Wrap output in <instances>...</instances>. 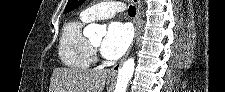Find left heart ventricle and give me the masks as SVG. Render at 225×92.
Here are the masks:
<instances>
[{
  "label": "left heart ventricle",
  "mask_w": 225,
  "mask_h": 92,
  "mask_svg": "<svg viewBox=\"0 0 225 92\" xmlns=\"http://www.w3.org/2000/svg\"><path fill=\"white\" fill-rule=\"evenodd\" d=\"M101 40L98 39V40H95V41H92V44H94L95 46H99Z\"/></svg>",
  "instance_id": "b2bd125f"
}]
</instances>
